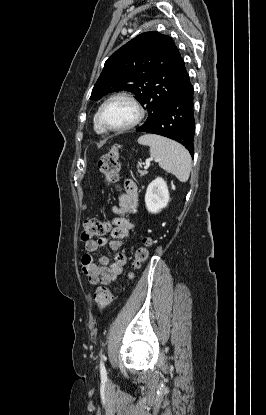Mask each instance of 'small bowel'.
Wrapping results in <instances>:
<instances>
[{"mask_svg":"<svg viewBox=\"0 0 266 415\" xmlns=\"http://www.w3.org/2000/svg\"><path fill=\"white\" fill-rule=\"evenodd\" d=\"M125 192L118 198V206L113 207V212L119 216L113 219V229L111 232L112 240L105 237L95 240H87L84 245L85 253L81 258L82 271L91 285H108L114 282L123 272L127 263L125 251H119L122 240L127 238L134 223L131 219L121 215L138 211L139 196L136 184L131 180L125 181ZM109 247L113 251H118L113 262L107 256H100L95 262L91 253L99 248Z\"/></svg>","mask_w":266,"mask_h":415,"instance_id":"small-bowel-1","label":"small bowel"}]
</instances>
